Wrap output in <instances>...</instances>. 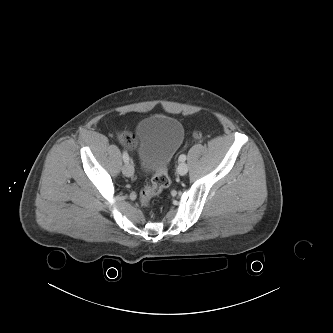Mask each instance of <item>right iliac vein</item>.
Instances as JSON below:
<instances>
[{
	"instance_id": "right-iliac-vein-1",
	"label": "right iliac vein",
	"mask_w": 333,
	"mask_h": 333,
	"mask_svg": "<svg viewBox=\"0 0 333 333\" xmlns=\"http://www.w3.org/2000/svg\"><path fill=\"white\" fill-rule=\"evenodd\" d=\"M122 172L125 176L131 177L134 174V166L132 163H127L123 166Z\"/></svg>"
}]
</instances>
